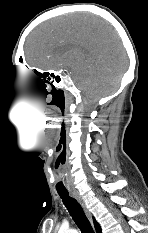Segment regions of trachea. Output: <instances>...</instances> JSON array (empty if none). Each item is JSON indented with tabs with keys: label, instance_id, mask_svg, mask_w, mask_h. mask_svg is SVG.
Returning a JSON list of instances; mask_svg holds the SVG:
<instances>
[{
	"label": "trachea",
	"instance_id": "obj_1",
	"mask_svg": "<svg viewBox=\"0 0 148 233\" xmlns=\"http://www.w3.org/2000/svg\"><path fill=\"white\" fill-rule=\"evenodd\" d=\"M58 194L81 232L94 233L89 220L77 200L70 197L67 191H58Z\"/></svg>",
	"mask_w": 148,
	"mask_h": 233
}]
</instances>
